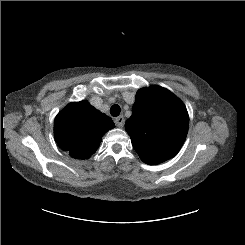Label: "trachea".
<instances>
[{"mask_svg":"<svg viewBox=\"0 0 245 245\" xmlns=\"http://www.w3.org/2000/svg\"><path fill=\"white\" fill-rule=\"evenodd\" d=\"M120 112H121V108H120L119 105L114 104V105L111 106V108H110V113H111V115H112L113 117L119 116Z\"/></svg>","mask_w":245,"mask_h":245,"instance_id":"trachea-1","label":"trachea"}]
</instances>
